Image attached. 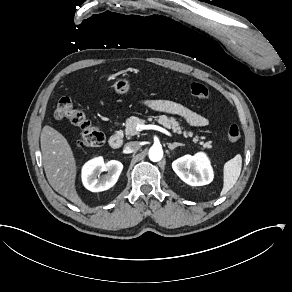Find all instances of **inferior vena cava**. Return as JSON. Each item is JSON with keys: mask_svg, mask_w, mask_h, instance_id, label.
I'll return each mask as SVG.
<instances>
[{"mask_svg": "<svg viewBox=\"0 0 292 292\" xmlns=\"http://www.w3.org/2000/svg\"><path fill=\"white\" fill-rule=\"evenodd\" d=\"M139 148H140V143L138 141L128 142L124 147V149L127 153L135 152V151L139 150Z\"/></svg>", "mask_w": 292, "mask_h": 292, "instance_id": "inferior-vena-cava-1", "label": "inferior vena cava"}]
</instances>
